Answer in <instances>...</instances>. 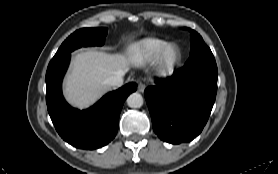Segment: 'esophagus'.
I'll use <instances>...</instances> for the list:
<instances>
[{
	"label": "esophagus",
	"instance_id": "34e87169",
	"mask_svg": "<svg viewBox=\"0 0 278 174\" xmlns=\"http://www.w3.org/2000/svg\"><path fill=\"white\" fill-rule=\"evenodd\" d=\"M145 88H146V85L144 83H139L138 84L137 89H138L139 92H141V93L144 92Z\"/></svg>",
	"mask_w": 278,
	"mask_h": 174
}]
</instances>
